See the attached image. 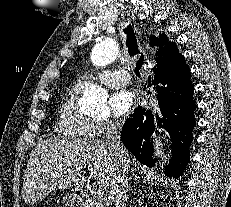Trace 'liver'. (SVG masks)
I'll return each instance as SVG.
<instances>
[{"label":"liver","instance_id":"liver-1","mask_svg":"<svg viewBox=\"0 0 231 207\" xmlns=\"http://www.w3.org/2000/svg\"><path fill=\"white\" fill-rule=\"evenodd\" d=\"M126 164L128 169V154ZM118 167V158L102 140H43L28 160L22 190L24 201L35 203L57 189H80L86 182V171H90L95 184L112 199Z\"/></svg>","mask_w":231,"mask_h":207}]
</instances>
